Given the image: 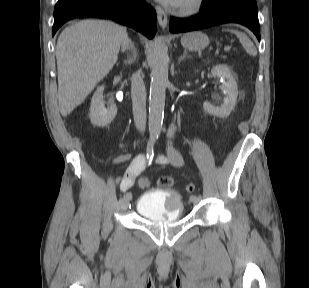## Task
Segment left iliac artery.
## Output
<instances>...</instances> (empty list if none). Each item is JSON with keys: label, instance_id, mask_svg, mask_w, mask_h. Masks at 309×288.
I'll use <instances>...</instances> for the list:
<instances>
[{"label": "left iliac artery", "instance_id": "1", "mask_svg": "<svg viewBox=\"0 0 309 288\" xmlns=\"http://www.w3.org/2000/svg\"><path fill=\"white\" fill-rule=\"evenodd\" d=\"M195 198H196V196H194V195H193V196H191V197H190V200H194ZM197 198H198V199H201V197H200V196H199V197H197Z\"/></svg>", "mask_w": 309, "mask_h": 288}]
</instances>
